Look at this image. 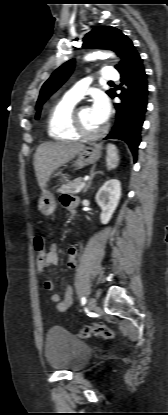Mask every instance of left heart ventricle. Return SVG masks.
Segmentation results:
<instances>
[{
    "mask_svg": "<svg viewBox=\"0 0 168 415\" xmlns=\"http://www.w3.org/2000/svg\"><path fill=\"white\" fill-rule=\"evenodd\" d=\"M80 119L88 131H97L102 127L93 117L90 107L83 106L79 110Z\"/></svg>",
    "mask_w": 168,
    "mask_h": 415,
    "instance_id": "1",
    "label": "left heart ventricle"
}]
</instances>
